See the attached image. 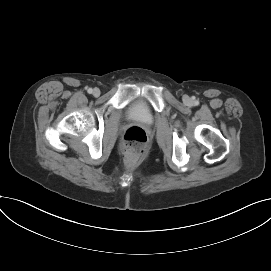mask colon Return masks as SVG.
Here are the masks:
<instances>
[{"label":"colon","instance_id":"colon-1","mask_svg":"<svg viewBox=\"0 0 271 271\" xmlns=\"http://www.w3.org/2000/svg\"><path fill=\"white\" fill-rule=\"evenodd\" d=\"M148 143L146 131L138 126L130 127L124 134V152L129 160L144 153Z\"/></svg>","mask_w":271,"mask_h":271}]
</instances>
